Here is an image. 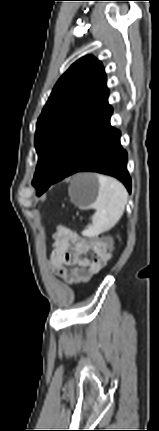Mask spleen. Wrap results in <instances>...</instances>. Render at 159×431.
Returning a JSON list of instances; mask_svg holds the SVG:
<instances>
[{
  "label": "spleen",
  "mask_w": 159,
  "mask_h": 431,
  "mask_svg": "<svg viewBox=\"0 0 159 431\" xmlns=\"http://www.w3.org/2000/svg\"><path fill=\"white\" fill-rule=\"evenodd\" d=\"M100 188L96 202L92 205L95 214L92 224L84 231L87 236H96L113 228L124 213L128 200L126 188L118 180L97 174Z\"/></svg>",
  "instance_id": "spleen-1"
}]
</instances>
